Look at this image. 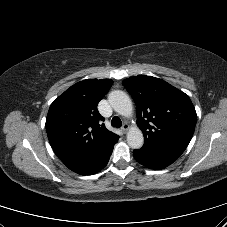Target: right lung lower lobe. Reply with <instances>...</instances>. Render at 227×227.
<instances>
[{
	"label": "right lung lower lobe",
	"mask_w": 227,
	"mask_h": 227,
	"mask_svg": "<svg viewBox=\"0 0 227 227\" xmlns=\"http://www.w3.org/2000/svg\"><path fill=\"white\" fill-rule=\"evenodd\" d=\"M118 138L107 144H104L96 151L90 153L80 160L65 162L64 164L70 170L81 175L95 174L107 165L113 151V147L117 143Z\"/></svg>",
	"instance_id": "right-lung-lower-lobe-1"
}]
</instances>
